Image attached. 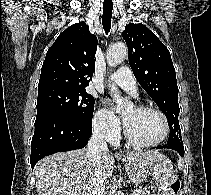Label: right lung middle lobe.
Returning <instances> with one entry per match:
<instances>
[{
  "mask_svg": "<svg viewBox=\"0 0 211 195\" xmlns=\"http://www.w3.org/2000/svg\"><path fill=\"white\" fill-rule=\"evenodd\" d=\"M95 100L85 90L54 88L38 92L36 121L51 117L92 121Z\"/></svg>",
  "mask_w": 211,
  "mask_h": 195,
  "instance_id": "right-lung-middle-lobe-1",
  "label": "right lung middle lobe"
}]
</instances>
